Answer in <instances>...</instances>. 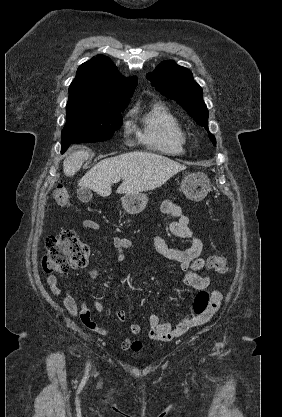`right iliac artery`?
<instances>
[{
	"label": "right iliac artery",
	"instance_id": "right-iliac-artery-1",
	"mask_svg": "<svg viewBox=\"0 0 282 417\" xmlns=\"http://www.w3.org/2000/svg\"><path fill=\"white\" fill-rule=\"evenodd\" d=\"M86 372H88V367H87V369H86Z\"/></svg>",
	"mask_w": 282,
	"mask_h": 417
}]
</instances>
